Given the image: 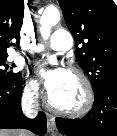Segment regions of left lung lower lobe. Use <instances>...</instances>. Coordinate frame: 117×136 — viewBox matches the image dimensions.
<instances>
[{"label":"left lung lower lobe","mask_w":117,"mask_h":136,"mask_svg":"<svg viewBox=\"0 0 117 136\" xmlns=\"http://www.w3.org/2000/svg\"><path fill=\"white\" fill-rule=\"evenodd\" d=\"M92 109L82 119L56 118L59 131L67 136H117V79L94 93Z\"/></svg>","instance_id":"left-lung-lower-lobe-1"}]
</instances>
